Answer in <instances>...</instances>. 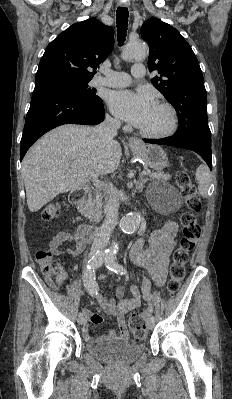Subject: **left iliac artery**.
<instances>
[{
  "label": "left iliac artery",
  "mask_w": 232,
  "mask_h": 399,
  "mask_svg": "<svg viewBox=\"0 0 232 399\" xmlns=\"http://www.w3.org/2000/svg\"><path fill=\"white\" fill-rule=\"evenodd\" d=\"M116 258H117V254L116 253L107 254V256L105 258V265H106V267L109 270H111V271H113V272H115L117 274H124L125 270H124L122 265H120L117 262H115ZM154 319H155V317L152 316L151 320H154Z\"/></svg>",
  "instance_id": "obj_1"
}]
</instances>
